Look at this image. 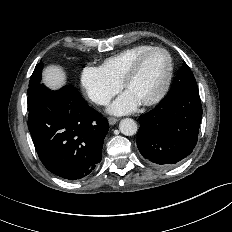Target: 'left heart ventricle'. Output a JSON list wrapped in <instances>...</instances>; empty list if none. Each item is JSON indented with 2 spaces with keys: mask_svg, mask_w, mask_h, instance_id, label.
<instances>
[{
  "mask_svg": "<svg viewBox=\"0 0 232 232\" xmlns=\"http://www.w3.org/2000/svg\"><path fill=\"white\" fill-rule=\"evenodd\" d=\"M168 59L164 52L149 54L142 62L136 76L128 84L126 91L141 103L154 97L165 81Z\"/></svg>",
  "mask_w": 232,
  "mask_h": 232,
  "instance_id": "left-heart-ventricle-1",
  "label": "left heart ventricle"
}]
</instances>
